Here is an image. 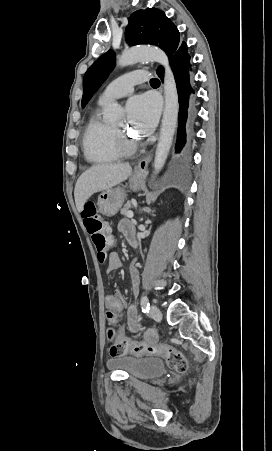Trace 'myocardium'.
Listing matches in <instances>:
<instances>
[{
    "label": "myocardium",
    "mask_w": 272,
    "mask_h": 451,
    "mask_svg": "<svg viewBox=\"0 0 272 451\" xmlns=\"http://www.w3.org/2000/svg\"><path fill=\"white\" fill-rule=\"evenodd\" d=\"M111 138L113 140L116 150H120L123 153H127L131 150L132 144L126 139L120 130L113 129L111 132Z\"/></svg>",
    "instance_id": "myocardium-1"
}]
</instances>
